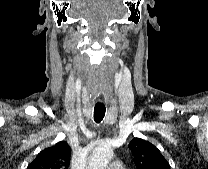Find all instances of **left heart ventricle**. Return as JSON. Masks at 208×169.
Returning <instances> with one entry per match:
<instances>
[{
    "label": "left heart ventricle",
    "mask_w": 208,
    "mask_h": 169,
    "mask_svg": "<svg viewBox=\"0 0 208 169\" xmlns=\"http://www.w3.org/2000/svg\"><path fill=\"white\" fill-rule=\"evenodd\" d=\"M103 169H109L108 167H104Z\"/></svg>",
    "instance_id": "b2bd125f"
}]
</instances>
